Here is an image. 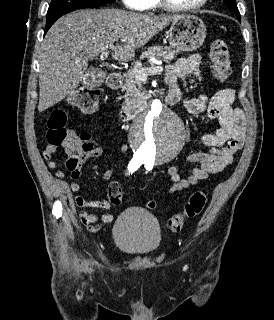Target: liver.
<instances>
[{
	"label": "liver",
	"instance_id": "6515ba94",
	"mask_svg": "<svg viewBox=\"0 0 274 320\" xmlns=\"http://www.w3.org/2000/svg\"><path fill=\"white\" fill-rule=\"evenodd\" d=\"M126 10H76L57 20L47 32L39 56V112L48 110L86 78L88 60L112 52L117 62L135 58V50L177 20ZM122 44H116V42Z\"/></svg>",
	"mask_w": 274,
	"mask_h": 320
}]
</instances>
